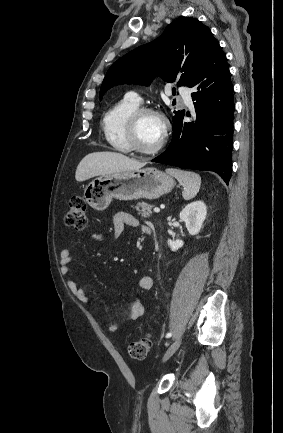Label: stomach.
<instances>
[{
	"mask_svg": "<svg viewBox=\"0 0 283 433\" xmlns=\"http://www.w3.org/2000/svg\"><path fill=\"white\" fill-rule=\"evenodd\" d=\"M174 186L172 176L157 168L123 170L113 174H101L84 188V198L90 206L104 210L112 198L137 200V198H159Z\"/></svg>",
	"mask_w": 283,
	"mask_h": 433,
	"instance_id": "stomach-1",
	"label": "stomach"
}]
</instances>
